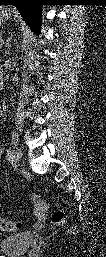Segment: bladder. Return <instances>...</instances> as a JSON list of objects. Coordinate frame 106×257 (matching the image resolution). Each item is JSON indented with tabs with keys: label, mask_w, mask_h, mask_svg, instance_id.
<instances>
[{
	"label": "bladder",
	"mask_w": 106,
	"mask_h": 257,
	"mask_svg": "<svg viewBox=\"0 0 106 257\" xmlns=\"http://www.w3.org/2000/svg\"><path fill=\"white\" fill-rule=\"evenodd\" d=\"M33 240L34 236L30 231L19 232L2 239L0 249L2 254L8 257H19L28 251Z\"/></svg>",
	"instance_id": "1"
}]
</instances>
